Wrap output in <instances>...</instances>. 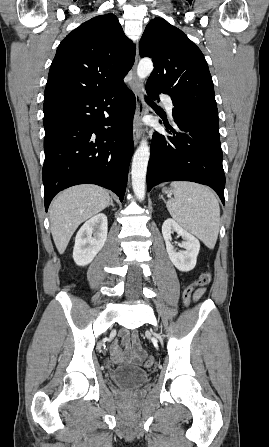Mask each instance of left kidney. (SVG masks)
Segmentation results:
<instances>
[{"mask_svg": "<svg viewBox=\"0 0 269 447\" xmlns=\"http://www.w3.org/2000/svg\"><path fill=\"white\" fill-rule=\"evenodd\" d=\"M172 231H176L178 235H182L184 241L178 243V245L184 247V249L176 251L173 243H171ZM162 233L165 239L167 253L175 267L180 269V271H190V269H193L196 265L197 255L200 249L199 239L194 237V235H191V233H188V231H185L183 227H180V225L176 224L171 218L165 220L162 225Z\"/></svg>", "mask_w": 269, "mask_h": 447, "instance_id": "left-kidney-1", "label": "left kidney"}]
</instances>
